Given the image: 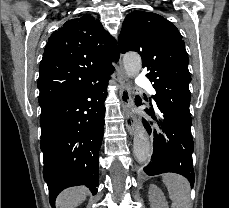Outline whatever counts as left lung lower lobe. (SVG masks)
<instances>
[{
	"label": "left lung lower lobe",
	"instance_id": "left-lung-lower-lobe-1",
	"mask_svg": "<svg viewBox=\"0 0 229 208\" xmlns=\"http://www.w3.org/2000/svg\"><path fill=\"white\" fill-rule=\"evenodd\" d=\"M141 105V100L136 101ZM162 130V134H156L153 142V155L151 162L144 167V172L149 175H157L165 172H174L186 177L191 186L194 185V169L192 153L194 149L191 135V116L170 110L157 105L155 110L150 107L145 109ZM144 125L150 132L151 128L146 120Z\"/></svg>",
	"mask_w": 229,
	"mask_h": 208
}]
</instances>
